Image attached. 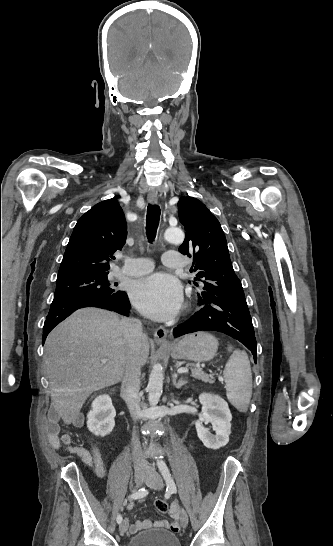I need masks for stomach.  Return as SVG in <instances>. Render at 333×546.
I'll return each mask as SVG.
<instances>
[{"instance_id":"obj_1","label":"stomach","mask_w":333,"mask_h":546,"mask_svg":"<svg viewBox=\"0 0 333 546\" xmlns=\"http://www.w3.org/2000/svg\"><path fill=\"white\" fill-rule=\"evenodd\" d=\"M218 345V339L215 336L206 332H197L170 344L167 349L174 359L206 362L213 359Z\"/></svg>"}]
</instances>
